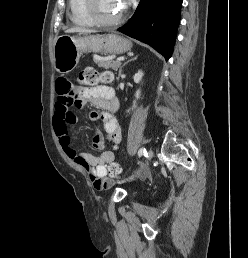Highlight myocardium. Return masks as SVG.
<instances>
[{
    "mask_svg": "<svg viewBox=\"0 0 248 258\" xmlns=\"http://www.w3.org/2000/svg\"><path fill=\"white\" fill-rule=\"evenodd\" d=\"M97 3H98V0H85L86 13L94 24L100 25V26H114L119 24L123 20L124 18L123 13H121V15L115 19L101 18L97 12Z\"/></svg>",
    "mask_w": 248,
    "mask_h": 258,
    "instance_id": "obj_1",
    "label": "myocardium"
}]
</instances>
